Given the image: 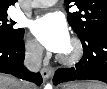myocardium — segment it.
Returning <instances> with one entry per match:
<instances>
[{
	"mask_svg": "<svg viewBox=\"0 0 107 89\" xmlns=\"http://www.w3.org/2000/svg\"><path fill=\"white\" fill-rule=\"evenodd\" d=\"M83 56L82 43L78 38H72L70 40V51L66 54H61L58 56L60 63L66 66H73L77 64Z\"/></svg>",
	"mask_w": 107,
	"mask_h": 89,
	"instance_id": "obj_1",
	"label": "myocardium"
}]
</instances>
